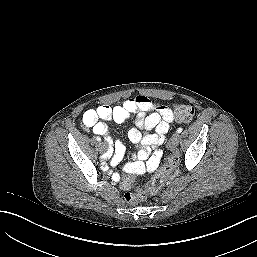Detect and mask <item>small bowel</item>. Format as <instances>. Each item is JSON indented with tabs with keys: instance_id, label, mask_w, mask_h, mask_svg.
Wrapping results in <instances>:
<instances>
[{
	"instance_id": "obj_1",
	"label": "small bowel",
	"mask_w": 257,
	"mask_h": 257,
	"mask_svg": "<svg viewBox=\"0 0 257 257\" xmlns=\"http://www.w3.org/2000/svg\"><path fill=\"white\" fill-rule=\"evenodd\" d=\"M131 115L135 116V126L128 131V139L138 147L137 161L128 166V170L135 173L154 171L161 160L162 152L155 148L162 144L175 121L174 113L165 104L154 103L148 97L138 95L123 101L122 104L111 106L102 104L87 110L82 118L85 129L101 135L109 146L108 157L112 166L118 165L125 156V148L121 142H114L109 136L107 121L122 123ZM154 130V132H150ZM145 160V163L142 161ZM118 180V175H114ZM124 188L129 185L123 183Z\"/></svg>"
}]
</instances>
